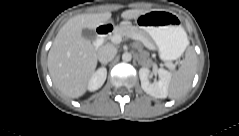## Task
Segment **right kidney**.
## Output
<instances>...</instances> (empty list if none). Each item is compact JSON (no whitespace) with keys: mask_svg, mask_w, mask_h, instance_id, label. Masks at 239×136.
Wrapping results in <instances>:
<instances>
[{"mask_svg":"<svg viewBox=\"0 0 239 136\" xmlns=\"http://www.w3.org/2000/svg\"><path fill=\"white\" fill-rule=\"evenodd\" d=\"M107 77V70L106 68H99L96 72L92 74L88 82V90L95 91L101 88L104 84Z\"/></svg>","mask_w":239,"mask_h":136,"instance_id":"ca27d5eb","label":"right kidney"}]
</instances>
